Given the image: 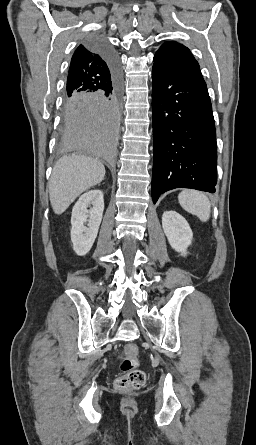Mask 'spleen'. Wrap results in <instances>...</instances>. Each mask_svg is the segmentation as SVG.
<instances>
[{"instance_id":"spleen-1","label":"spleen","mask_w":256,"mask_h":445,"mask_svg":"<svg viewBox=\"0 0 256 445\" xmlns=\"http://www.w3.org/2000/svg\"><path fill=\"white\" fill-rule=\"evenodd\" d=\"M178 200L187 212L196 215L203 222L209 220L211 204L205 194L194 190H184L178 195Z\"/></svg>"}]
</instances>
